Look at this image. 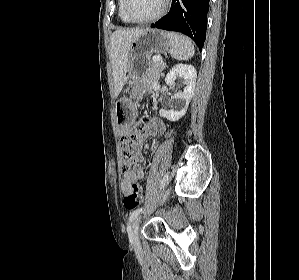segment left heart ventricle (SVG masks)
I'll use <instances>...</instances> for the list:
<instances>
[{
	"instance_id": "1",
	"label": "left heart ventricle",
	"mask_w": 299,
	"mask_h": 280,
	"mask_svg": "<svg viewBox=\"0 0 299 280\" xmlns=\"http://www.w3.org/2000/svg\"><path fill=\"white\" fill-rule=\"evenodd\" d=\"M163 0H129L130 14L136 19H147L159 11Z\"/></svg>"
}]
</instances>
